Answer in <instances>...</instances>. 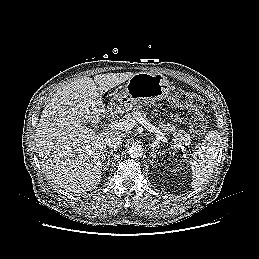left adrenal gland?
I'll return each instance as SVG.
<instances>
[{
	"label": "left adrenal gland",
	"mask_w": 259,
	"mask_h": 259,
	"mask_svg": "<svg viewBox=\"0 0 259 259\" xmlns=\"http://www.w3.org/2000/svg\"><path fill=\"white\" fill-rule=\"evenodd\" d=\"M150 153V156L152 157V160H150V162L153 164L155 162V159L157 158V155L162 154L161 152H155L154 148H152Z\"/></svg>",
	"instance_id": "left-adrenal-gland-1"
}]
</instances>
